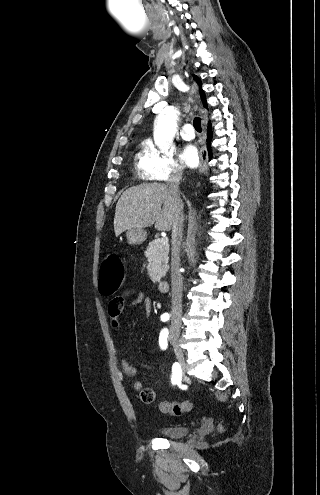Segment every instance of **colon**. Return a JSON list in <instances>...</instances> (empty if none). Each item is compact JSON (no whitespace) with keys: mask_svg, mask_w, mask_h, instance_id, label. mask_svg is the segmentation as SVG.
<instances>
[{"mask_svg":"<svg viewBox=\"0 0 320 495\" xmlns=\"http://www.w3.org/2000/svg\"><path fill=\"white\" fill-rule=\"evenodd\" d=\"M124 268L120 257L116 254H108L102 261L99 270V289L104 294L115 292L123 283ZM125 295L119 298L123 300ZM140 400L145 404H151L155 400V393L150 388H144L140 392ZM159 408L163 413L173 416H182L189 413L193 405L189 401L171 402L163 401L159 404ZM221 429V427H220Z\"/></svg>","mask_w":320,"mask_h":495,"instance_id":"1","label":"colon"}]
</instances>
